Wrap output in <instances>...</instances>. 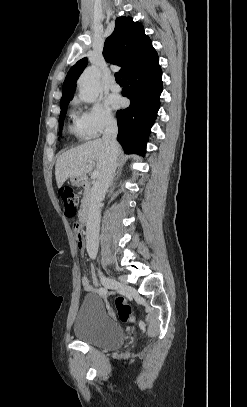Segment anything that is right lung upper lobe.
<instances>
[{
    "label": "right lung upper lobe",
    "mask_w": 247,
    "mask_h": 407,
    "mask_svg": "<svg viewBox=\"0 0 247 407\" xmlns=\"http://www.w3.org/2000/svg\"><path fill=\"white\" fill-rule=\"evenodd\" d=\"M104 57L112 64L121 66L122 77L131 69L157 56L143 25L132 17H118L113 33L104 44ZM88 64L87 58L79 60L69 70L63 83L61 103L70 101L75 92L76 81Z\"/></svg>",
    "instance_id": "right-lung-upper-lobe-1"
}]
</instances>
